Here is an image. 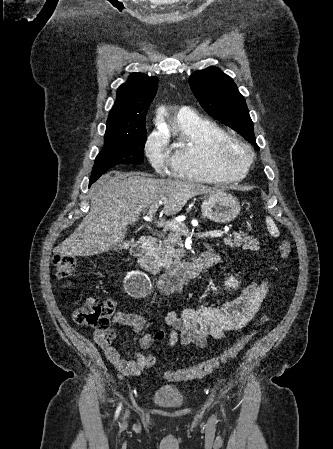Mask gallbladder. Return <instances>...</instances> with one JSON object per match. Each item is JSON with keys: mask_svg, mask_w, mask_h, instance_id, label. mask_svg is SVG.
Wrapping results in <instances>:
<instances>
[{"mask_svg": "<svg viewBox=\"0 0 333 449\" xmlns=\"http://www.w3.org/2000/svg\"><path fill=\"white\" fill-rule=\"evenodd\" d=\"M128 247L127 243L125 241H121L116 246L112 247L113 250L120 251L123 249H126Z\"/></svg>", "mask_w": 333, "mask_h": 449, "instance_id": "1", "label": "gallbladder"}]
</instances>
